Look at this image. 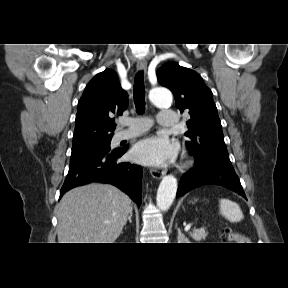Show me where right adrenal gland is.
Instances as JSON below:
<instances>
[{"instance_id": "right-adrenal-gland-1", "label": "right adrenal gland", "mask_w": 288, "mask_h": 288, "mask_svg": "<svg viewBox=\"0 0 288 288\" xmlns=\"http://www.w3.org/2000/svg\"><path fill=\"white\" fill-rule=\"evenodd\" d=\"M131 217H132V209H131V211H130V213H129V217H128V221H129L130 223H132Z\"/></svg>"}]
</instances>
